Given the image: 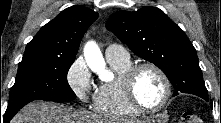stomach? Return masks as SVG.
<instances>
[{"instance_id": "stomach-1", "label": "stomach", "mask_w": 221, "mask_h": 123, "mask_svg": "<svg viewBox=\"0 0 221 123\" xmlns=\"http://www.w3.org/2000/svg\"><path fill=\"white\" fill-rule=\"evenodd\" d=\"M145 123H161L160 116H155L151 119H148Z\"/></svg>"}]
</instances>
